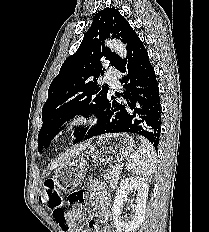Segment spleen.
<instances>
[{
	"mask_svg": "<svg viewBox=\"0 0 209 232\" xmlns=\"http://www.w3.org/2000/svg\"><path fill=\"white\" fill-rule=\"evenodd\" d=\"M140 141L141 146L127 159L126 167L133 175L143 176L146 180H150L156 170V152L147 139L140 137Z\"/></svg>",
	"mask_w": 209,
	"mask_h": 232,
	"instance_id": "obj_1",
	"label": "spleen"
}]
</instances>
